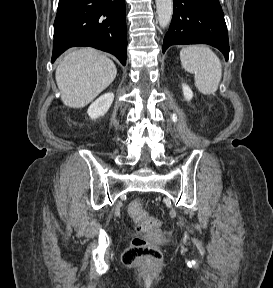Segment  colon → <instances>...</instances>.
<instances>
[{"mask_svg":"<svg viewBox=\"0 0 273 288\" xmlns=\"http://www.w3.org/2000/svg\"><path fill=\"white\" fill-rule=\"evenodd\" d=\"M129 213L141 230H154L160 226L159 220L146 212L137 199L129 204ZM161 257L162 253L158 246L152 244L145 237L137 236L133 238L123 253L122 260L124 264L132 265L140 259L149 263H156L160 261Z\"/></svg>","mask_w":273,"mask_h":288,"instance_id":"5ec220e1","label":"colon"}]
</instances>
